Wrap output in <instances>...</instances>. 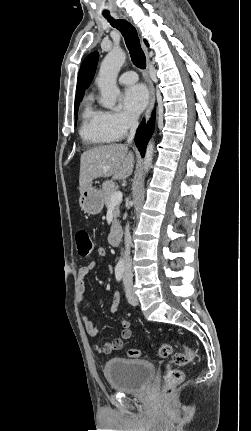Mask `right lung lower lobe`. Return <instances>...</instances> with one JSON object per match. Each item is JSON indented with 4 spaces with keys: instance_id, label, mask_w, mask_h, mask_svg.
I'll return each instance as SVG.
<instances>
[{
    "instance_id": "1",
    "label": "right lung lower lobe",
    "mask_w": 251,
    "mask_h": 431,
    "mask_svg": "<svg viewBox=\"0 0 251 431\" xmlns=\"http://www.w3.org/2000/svg\"><path fill=\"white\" fill-rule=\"evenodd\" d=\"M153 128H154V115L152 116L148 124H145L144 122H142L137 129L136 136H135V143L142 157L145 154L146 145L149 138L151 137Z\"/></svg>"
}]
</instances>
